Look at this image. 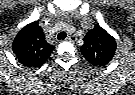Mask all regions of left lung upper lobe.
<instances>
[{
    "label": "left lung upper lobe",
    "mask_w": 135,
    "mask_h": 95,
    "mask_svg": "<svg viewBox=\"0 0 135 95\" xmlns=\"http://www.w3.org/2000/svg\"><path fill=\"white\" fill-rule=\"evenodd\" d=\"M116 41L98 24L84 37L81 53L95 67L107 65L115 55Z\"/></svg>",
    "instance_id": "1"
}]
</instances>
